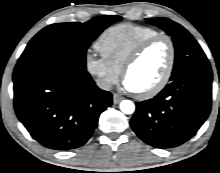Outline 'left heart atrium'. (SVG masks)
I'll use <instances>...</instances> for the list:
<instances>
[{
	"mask_svg": "<svg viewBox=\"0 0 220 173\" xmlns=\"http://www.w3.org/2000/svg\"><path fill=\"white\" fill-rule=\"evenodd\" d=\"M125 87L129 90H132L126 81H125Z\"/></svg>",
	"mask_w": 220,
	"mask_h": 173,
	"instance_id": "39dd6f15",
	"label": "left heart atrium"
}]
</instances>
